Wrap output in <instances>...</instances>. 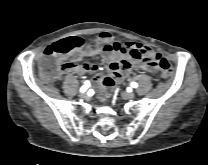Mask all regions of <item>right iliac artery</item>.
Segmentation results:
<instances>
[{
    "label": "right iliac artery",
    "instance_id": "obj_1",
    "mask_svg": "<svg viewBox=\"0 0 208 165\" xmlns=\"http://www.w3.org/2000/svg\"><path fill=\"white\" fill-rule=\"evenodd\" d=\"M88 85H83L80 89L81 92H85L87 90Z\"/></svg>",
    "mask_w": 208,
    "mask_h": 165
}]
</instances>
